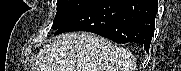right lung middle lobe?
<instances>
[{
    "mask_svg": "<svg viewBox=\"0 0 181 71\" xmlns=\"http://www.w3.org/2000/svg\"><path fill=\"white\" fill-rule=\"evenodd\" d=\"M93 1L94 0H57V13L51 28L57 30Z\"/></svg>",
    "mask_w": 181,
    "mask_h": 71,
    "instance_id": "1",
    "label": "right lung middle lobe"
}]
</instances>
